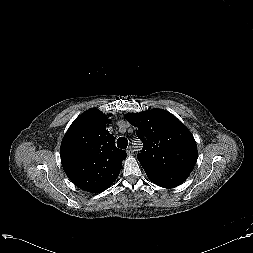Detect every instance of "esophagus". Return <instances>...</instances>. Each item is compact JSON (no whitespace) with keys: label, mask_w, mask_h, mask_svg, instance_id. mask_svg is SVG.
Returning a JSON list of instances; mask_svg holds the SVG:
<instances>
[{"label":"esophagus","mask_w":253,"mask_h":253,"mask_svg":"<svg viewBox=\"0 0 253 253\" xmlns=\"http://www.w3.org/2000/svg\"><path fill=\"white\" fill-rule=\"evenodd\" d=\"M133 152H134V151H133V149H132L131 146L127 148V154H128L129 156L133 155Z\"/></svg>","instance_id":"1"}]
</instances>
